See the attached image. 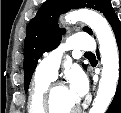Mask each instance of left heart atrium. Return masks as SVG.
Masks as SVG:
<instances>
[{"label": "left heart atrium", "instance_id": "left-heart-atrium-1", "mask_svg": "<svg viewBox=\"0 0 121 113\" xmlns=\"http://www.w3.org/2000/svg\"><path fill=\"white\" fill-rule=\"evenodd\" d=\"M69 90L74 99L78 102L87 92V80L80 71H74L70 76Z\"/></svg>", "mask_w": 121, "mask_h": 113}]
</instances>
